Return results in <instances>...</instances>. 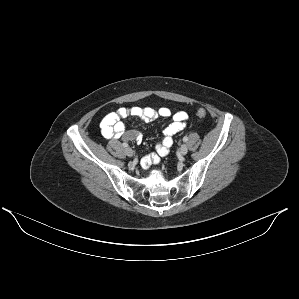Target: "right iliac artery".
<instances>
[{"label": "right iliac artery", "instance_id": "right-iliac-artery-1", "mask_svg": "<svg viewBox=\"0 0 299 299\" xmlns=\"http://www.w3.org/2000/svg\"><path fill=\"white\" fill-rule=\"evenodd\" d=\"M123 147H128V143H126V142H123Z\"/></svg>", "mask_w": 299, "mask_h": 299}]
</instances>
